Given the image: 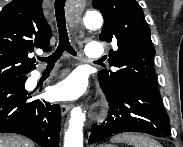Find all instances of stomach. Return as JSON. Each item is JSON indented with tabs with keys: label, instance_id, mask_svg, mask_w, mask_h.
<instances>
[{
	"label": "stomach",
	"instance_id": "1",
	"mask_svg": "<svg viewBox=\"0 0 183 147\" xmlns=\"http://www.w3.org/2000/svg\"><path fill=\"white\" fill-rule=\"evenodd\" d=\"M100 147H114V146L110 144H104V145H101Z\"/></svg>",
	"mask_w": 183,
	"mask_h": 147
}]
</instances>
